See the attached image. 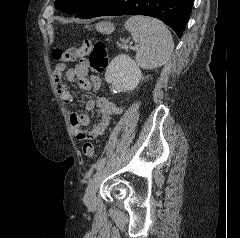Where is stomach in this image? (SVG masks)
<instances>
[{"label": "stomach", "instance_id": "1", "mask_svg": "<svg viewBox=\"0 0 240 238\" xmlns=\"http://www.w3.org/2000/svg\"><path fill=\"white\" fill-rule=\"evenodd\" d=\"M114 29H115L114 24L109 21L99 22L96 25V30L103 34H110L114 31Z\"/></svg>", "mask_w": 240, "mask_h": 238}]
</instances>
